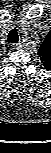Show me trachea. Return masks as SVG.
Masks as SVG:
<instances>
[{
	"instance_id": "1",
	"label": "trachea",
	"mask_w": 51,
	"mask_h": 153,
	"mask_svg": "<svg viewBox=\"0 0 51 153\" xmlns=\"http://www.w3.org/2000/svg\"><path fill=\"white\" fill-rule=\"evenodd\" d=\"M7 40H8V42L9 43H17L18 42V32H17V30L14 28V29H12L10 32H9V34H8V36H7Z\"/></svg>"
}]
</instances>
